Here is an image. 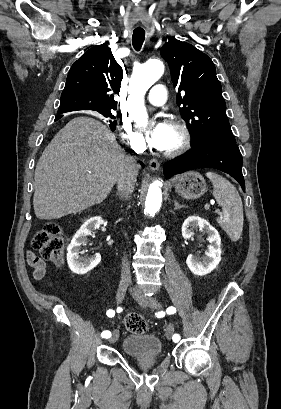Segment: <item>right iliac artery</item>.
I'll use <instances>...</instances> for the list:
<instances>
[{
  "instance_id": "82829eb1",
  "label": "right iliac artery",
  "mask_w": 281,
  "mask_h": 409,
  "mask_svg": "<svg viewBox=\"0 0 281 409\" xmlns=\"http://www.w3.org/2000/svg\"><path fill=\"white\" fill-rule=\"evenodd\" d=\"M114 315H115V312L113 310H108L107 311V316L108 317H113ZM101 336L104 337V338H110L111 337V332L108 331V330L103 331Z\"/></svg>"
}]
</instances>
